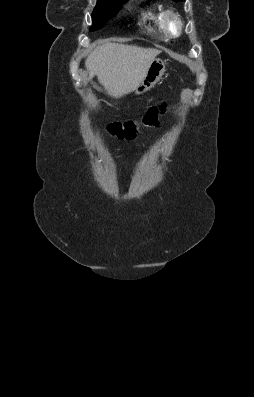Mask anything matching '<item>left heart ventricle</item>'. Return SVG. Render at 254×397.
I'll list each match as a JSON object with an SVG mask.
<instances>
[{
	"instance_id": "1",
	"label": "left heart ventricle",
	"mask_w": 254,
	"mask_h": 397,
	"mask_svg": "<svg viewBox=\"0 0 254 397\" xmlns=\"http://www.w3.org/2000/svg\"><path fill=\"white\" fill-rule=\"evenodd\" d=\"M171 26H172V28H175V24L173 22L171 23Z\"/></svg>"
}]
</instances>
